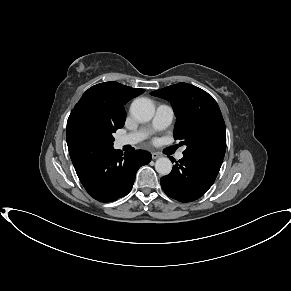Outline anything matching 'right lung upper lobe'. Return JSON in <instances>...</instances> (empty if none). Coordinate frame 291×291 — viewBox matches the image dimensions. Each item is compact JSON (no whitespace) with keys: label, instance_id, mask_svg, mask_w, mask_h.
<instances>
[{"label":"right lung upper lobe","instance_id":"right-lung-upper-lobe-1","mask_svg":"<svg viewBox=\"0 0 291 291\" xmlns=\"http://www.w3.org/2000/svg\"><path fill=\"white\" fill-rule=\"evenodd\" d=\"M143 92L144 89L131 88L117 82L100 83L89 88L73 110L89 107L125 119L124 105Z\"/></svg>","mask_w":291,"mask_h":291}]
</instances>
